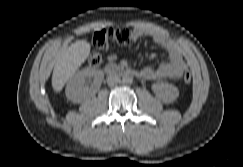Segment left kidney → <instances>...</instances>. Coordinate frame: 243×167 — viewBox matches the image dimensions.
<instances>
[{"mask_svg": "<svg viewBox=\"0 0 243 167\" xmlns=\"http://www.w3.org/2000/svg\"><path fill=\"white\" fill-rule=\"evenodd\" d=\"M152 90L156 97L164 103H172L179 96L178 88L166 82L154 83Z\"/></svg>", "mask_w": 243, "mask_h": 167, "instance_id": "5707ae66", "label": "left kidney"}]
</instances>
